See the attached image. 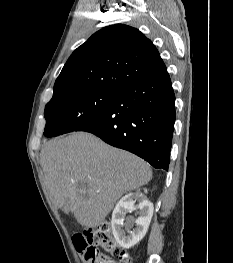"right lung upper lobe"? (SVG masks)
Listing matches in <instances>:
<instances>
[{"label": "right lung upper lobe", "mask_w": 233, "mask_h": 263, "mask_svg": "<svg viewBox=\"0 0 233 263\" xmlns=\"http://www.w3.org/2000/svg\"><path fill=\"white\" fill-rule=\"evenodd\" d=\"M166 71L157 48L139 30L112 25L72 53L54 84L53 96L85 89L118 92Z\"/></svg>", "instance_id": "cb5924a9"}]
</instances>
